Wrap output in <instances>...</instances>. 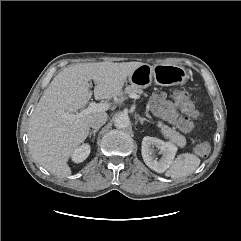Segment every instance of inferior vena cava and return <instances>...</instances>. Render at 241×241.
<instances>
[{
  "label": "inferior vena cava",
  "mask_w": 241,
  "mask_h": 241,
  "mask_svg": "<svg viewBox=\"0 0 241 241\" xmlns=\"http://www.w3.org/2000/svg\"><path fill=\"white\" fill-rule=\"evenodd\" d=\"M107 113H96L91 117L90 126L94 129H99L107 121Z\"/></svg>",
  "instance_id": "602c4592"
}]
</instances>
